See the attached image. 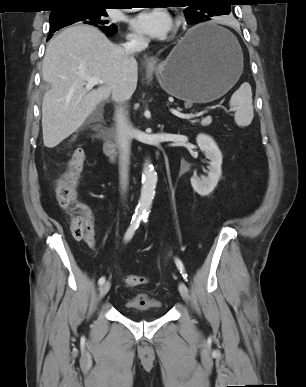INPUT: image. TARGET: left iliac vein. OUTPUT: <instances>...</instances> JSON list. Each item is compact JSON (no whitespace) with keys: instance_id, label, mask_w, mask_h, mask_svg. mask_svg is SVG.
<instances>
[{"instance_id":"4c4485c4","label":"left iliac vein","mask_w":306,"mask_h":387,"mask_svg":"<svg viewBox=\"0 0 306 387\" xmlns=\"http://www.w3.org/2000/svg\"><path fill=\"white\" fill-rule=\"evenodd\" d=\"M178 289H179V292H180V295L182 296V298L185 301H188L189 300V292H188V288L185 285V283L180 282L179 286H178Z\"/></svg>"}]
</instances>
